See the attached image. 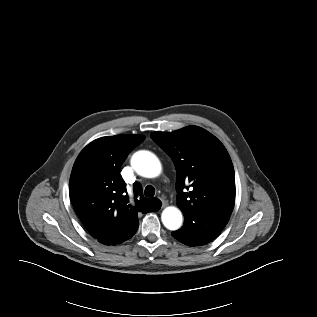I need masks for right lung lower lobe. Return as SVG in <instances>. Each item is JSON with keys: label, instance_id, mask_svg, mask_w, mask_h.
Returning <instances> with one entry per match:
<instances>
[{"label": "right lung lower lobe", "instance_id": "98d812e1", "mask_svg": "<svg viewBox=\"0 0 317 317\" xmlns=\"http://www.w3.org/2000/svg\"><path fill=\"white\" fill-rule=\"evenodd\" d=\"M161 207V204H157L154 209L152 210V212H157ZM99 240V239H98ZM100 241V240H99Z\"/></svg>", "mask_w": 317, "mask_h": 317}]
</instances>
